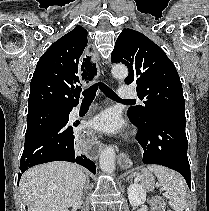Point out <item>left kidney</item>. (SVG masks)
Masks as SVG:
<instances>
[{"instance_id": "left-kidney-1", "label": "left kidney", "mask_w": 209, "mask_h": 211, "mask_svg": "<svg viewBox=\"0 0 209 211\" xmlns=\"http://www.w3.org/2000/svg\"><path fill=\"white\" fill-rule=\"evenodd\" d=\"M128 199L133 207H137L146 201V191L142 185L131 184L128 187Z\"/></svg>"}]
</instances>
